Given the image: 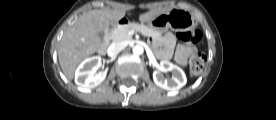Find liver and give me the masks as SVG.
Here are the masks:
<instances>
[{
	"label": "liver",
	"instance_id": "obj_1",
	"mask_svg": "<svg viewBox=\"0 0 276 120\" xmlns=\"http://www.w3.org/2000/svg\"><path fill=\"white\" fill-rule=\"evenodd\" d=\"M169 10L170 8L151 10L141 14L139 20L145 23ZM124 16L123 10H91L81 15L64 33L58 48V59L64 75L69 80L73 79L74 71L83 59L101 49L102 39L99 33L107 30Z\"/></svg>",
	"mask_w": 276,
	"mask_h": 120
}]
</instances>
